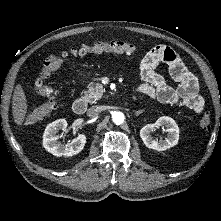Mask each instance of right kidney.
Returning <instances> with one entry per match:
<instances>
[{
  "label": "right kidney",
  "mask_w": 221,
  "mask_h": 221,
  "mask_svg": "<svg viewBox=\"0 0 221 221\" xmlns=\"http://www.w3.org/2000/svg\"><path fill=\"white\" fill-rule=\"evenodd\" d=\"M67 125L65 119H58L47 125L43 134L44 148L57 157L76 155L83 150L86 143V136L84 134L78 135L77 138L67 144L59 142V137L56 136V133L58 130H65Z\"/></svg>",
  "instance_id": "right-kidney-1"
}]
</instances>
